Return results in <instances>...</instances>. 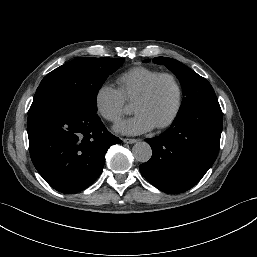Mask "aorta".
<instances>
[{
	"label": "aorta",
	"instance_id": "1",
	"mask_svg": "<svg viewBox=\"0 0 257 257\" xmlns=\"http://www.w3.org/2000/svg\"><path fill=\"white\" fill-rule=\"evenodd\" d=\"M135 159L141 163L150 160L152 156V149L147 142H137L132 149Z\"/></svg>",
	"mask_w": 257,
	"mask_h": 257
}]
</instances>
